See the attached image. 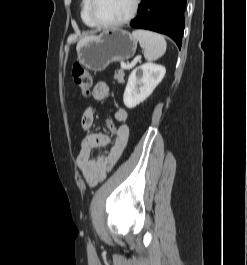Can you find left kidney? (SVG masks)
Returning <instances> with one entry per match:
<instances>
[{
  "mask_svg": "<svg viewBox=\"0 0 247 265\" xmlns=\"http://www.w3.org/2000/svg\"><path fill=\"white\" fill-rule=\"evenodd\" d=\"M166 69L152 62L135 68L129 78L123 95L125 106L132 109L145 101L162 81Z\"/></svg>",
  "mask_w": 247,
  "mask_h": 265,
  "instance_id": "5707ae66",
  "label": "left kidney"
}]
</instances>
